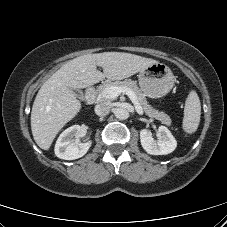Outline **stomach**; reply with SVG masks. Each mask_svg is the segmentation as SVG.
Listing matches in <instances>:
<instances>
[{
	"mask_svg": "<svg viewBox=\"0 0 227 227\" xmlns=\"http://www.w3.org/2000/svg\"><path fill=\"white\" fill-rule=\"evenodd\" d=\"M141 91L150 98H160L174 86V75L163 63L152 64L141 70L138 75Z\"/></svg>",
	"mask_w": 227,
	"mask_h": 227,
	"instance_id": "1",
	"label": "stomach"
}]
</instances>
